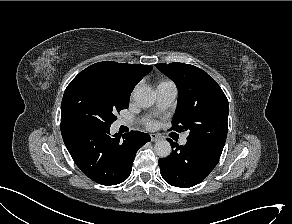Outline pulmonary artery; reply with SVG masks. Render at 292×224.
I'll return each instance as SVG.
<instances>
[{
  "label": "pulmonary artery",
  "mask_w": 292,
  "mask_h": 224,
  "mask_svg": "<svg viewBox=\"0 0 292 224\" xmlns=\"http://www.w3.org/2000/svg\"><path fill=\"white\" fill-rule=\"evenodd\" d=\"M157 111H165L167 110L174 102L177 95V88L172 82H164L160 83L157 88ZM120 124L127 125L128 122L125 120L120 121ZM187 142L186 136H183L180 140L182 145H185Z\"/></svg>",
  "instance_id": "pulmonary-artery-1"
}]
</instances>
